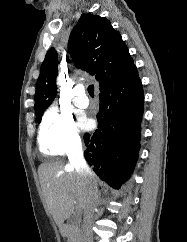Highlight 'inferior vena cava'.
Wrapping results in <instances>:
<instances>
[{
  "label": "inferior vena cava",
  "mask_w": 187,
  "mask_h": 242,
  "mask_svg": "<svg viewBox=\"0 0 187 242\" xmlns=\"http://www.w3.org/2000/svg\"><path fill=\"white\" fill-rule=\"evenodd\" d=\"M68 159L78 174L85 179H92L94 173L87 165L84 156L81 141H74L70 147ZM98 202V189L96 182L92 181L88 187L87 199L84 205V219L82 225V242H93L92 224L94 221V211Z\"/></svg>",
  "instance_id": "inferior-vena-cava-1"
}]
</instances>
